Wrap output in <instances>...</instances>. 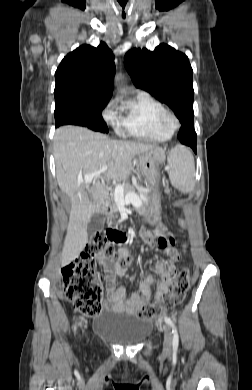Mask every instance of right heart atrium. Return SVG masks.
<instances>
[{"label":"right heart atrium","instance_id":"1","mask_svg":"<svg viewBox=\"0 0 252 390\" xmlns=\"http://www.w3.org/2000/svg\"><path fill=\"white\" fill-rule=\"evenodd\" d=\"M102 116L107 123H110L118 128L120 118L118 112L116 111V102L114 100L107 104L102 112Z\"/></svg>","mask_w":252,"mask_h":390}]
</instances>
